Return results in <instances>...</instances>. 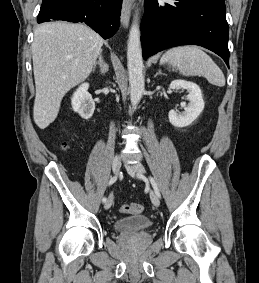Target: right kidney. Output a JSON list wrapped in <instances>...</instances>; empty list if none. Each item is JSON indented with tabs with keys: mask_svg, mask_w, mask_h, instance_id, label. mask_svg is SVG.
Masks as SVG:
<instances>
[{
	"mask_svg": "<svg viewBox=\"0 0 259 283\" xmlns=\"http://www.w3.org/2000/svg\"><path fill=\"white\" fill-rule=\"evenodd\" d=\"M88 88L89 84L83 83L74 92L71 99L72 109L85 120L90 119L95 110V103L88 92Z\"/></svg>",
	"mask_w": 259,
	"mask_h": 283,
	"instance_id": "obj_1",
	"label": "right kidney"
}]
</instances>
